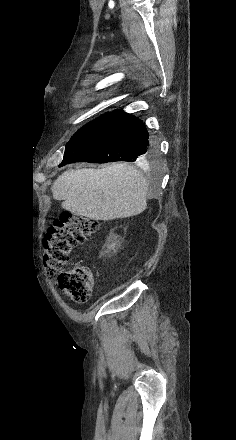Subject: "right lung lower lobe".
Segmentation results:
<instances>
[{
  "label": "right lung lower lobe",
  "instance_id": "1",
  "mask_svg": "<svg viewBox=\"0 0 236 440\" xmlns=\"http://www.w3.org/2000/svg\"><path fill=\"white\" fill-rule=\"evenodd\" d=\"M151 152L144 123L123 110L106 114L71 139L60 166L74 162H140Z\"/></svg>",
  "mask_w": 236,
  "mask_h": 440
}]
</instances>
